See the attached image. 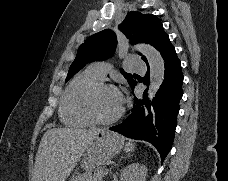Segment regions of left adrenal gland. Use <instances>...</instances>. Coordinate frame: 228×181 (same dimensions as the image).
Listing matches in <instances>:
<instances>
[{
	"label": "left adrenal gland",
	"instance_id": "obj_1",
	"mask_svg": "<svg viewBox=\"0 0 228 181\" xmlns=\"http://www.w3.org/2000/svg\"><path fill=\"white\" fill-rule=\"evenodd\" d=\"M122 159H125V157H122ZM121 161V159H120ZM120 161H118V163H120ZM113 167H116V165H113ZM109 173H111V169H109Z\"/></svg>",
	"mask_w": 228,
	"mask_h": 181
}]
</instances>
